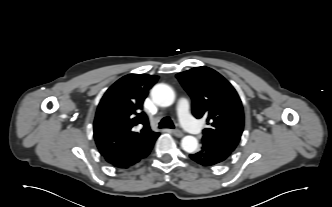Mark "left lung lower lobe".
<instances>
[{
    "label": "left lung lower lobe",
    "instance_id": "1",
    "mask_svg": "<svg viewBox=\"0 0 332 207\" xmlns=\"http://www.w3.org/2000/svg\"><path fill=\"white\" fill-rule=\"evenodd\" d=\"M230 154V151L223 149L217 145L202 142V147L200 151L194 154H190L189 157L194 162L202 166L209 167L223 162L230 156Z\"/></svg>",
    "mask_w": 332,
    "mask_h": 207
}]
</instances>
